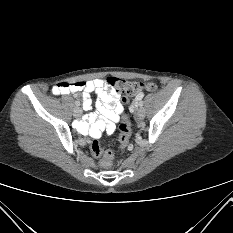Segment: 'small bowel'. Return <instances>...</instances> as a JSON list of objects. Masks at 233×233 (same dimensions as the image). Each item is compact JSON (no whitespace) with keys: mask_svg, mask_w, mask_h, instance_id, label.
I'll list each match as a JSON object with an SVG mask.
<instances>
[{"mask_svg":"<svg viewBox=\"0 0 233 233\" xmlns=\"http://www.w3.org/2000/svg\"><path fill=\"white\" fill-rule=\"evenodd\" d=\"M51 91L55 95L75 94L82 91L85 111L91 110L93 105L91 94L95 93L98 97L95 103L96 112L89 113L83 120L78 121L76 129L95 138H99L103 133L111 135L115 131L123 113V105L119 95L114 90L109 91V85L104 80L60 82L53 86Z\"/></svg>","mask_w":233,"mask_h":233,"instance_id":"1","label":"small bowel"}]
</instances>
